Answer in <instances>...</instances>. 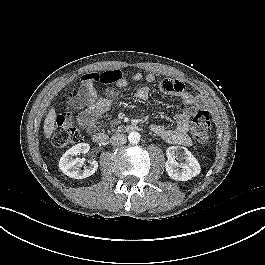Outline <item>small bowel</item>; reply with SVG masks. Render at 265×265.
<instances>
[{"label": "small bowel", "instance_id": "small-bowel-1", "mask_svg": "<svg viewBox=\"0 0 265 265\" xmlns=\"http://www.w3.org/2000/svg\"><path fill=\"white\" fill-rule=\"evenodd\" d=\"M113 72H117V74L115 81L111 83H115L118 88L126 87L130 81L136 82L144 79L148 83H153L156 80L155 75L152 73L135 72L127 78L119 71ZM96 83L110 84L94 80L92 74H84L80 79L82 87L80 97L84 106L82 122L89 132L95 129L97 120L110 109L117 98V91L113 88L107 89L104 96L99 95L95 87ZM159 91L164 95L179 97L184 109L176 114L173 128H168L161 124H153L151 125V130L167 143L190 146L191 139L188 136L189 123L200 109L198 98L190 93L184 84L178 80H163L159 84ZM149 95L150 88L148 86H142L135 92V97L140 101L147 100Z\"/></svg>", "mask_w": 265, "mask_h": 265}]
</instances>
